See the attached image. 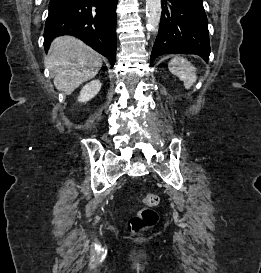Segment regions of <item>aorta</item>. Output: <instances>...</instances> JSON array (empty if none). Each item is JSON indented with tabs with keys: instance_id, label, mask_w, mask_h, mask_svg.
<instances>
[{
	"instance_id": "obj_1",
	"label": "aorta",
	"mask_w": 261,
	"mask_h": 273,
	"mask_svg": "<svg viewBox=\"0 0 261 273\" xmlns=\"http://www.w3.org/2000/svg\"><path fill=\"white\" fill-rule=\"evenodd\" d=\"M147 29L154 30L160 23L161 0H146Z\"/></svg>"
}]
</instances>
